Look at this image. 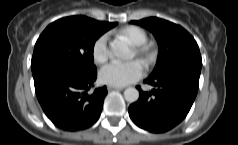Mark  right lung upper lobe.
Instances as JSON below:
<instances>
[{
	"label": "right lung upper lobe",
	"mask_w": 238,
	"mask_h": 145,
	"mask_svg": "<svg viewBox=\"0 0 238 145\" xmlns=\"http://www.w3.org/2000/svg\"><path fill=\"white\" fill-rule=\"evenodd\" d=\"M105 27H108L109 29H111L112 27H114L115 25H117L116 22L114 23H109V22H101Z\"/></svg>",
	"instance_id": "obj_1"
}]
</instances>
